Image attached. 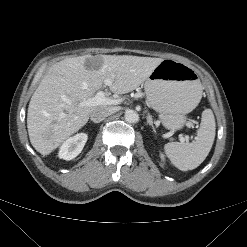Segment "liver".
<instances>
[{
	"mask_svg": "<svg viewBox=\"0 0 247 247\" xmlns=\"http://www.w3.org/2000/svg\"><path fill=\"white\" fill-rule=\"evenodd\" d=\"M161 58L131 55H84L52 65L33 93L27 113L29 139L36 151L48 155L78 132L98 109L112 105L86 106L105 86L116 94L139 87L161 63ZM97 62L93 65V62ZM106 80L111 84L106 85Z\"/></svg>",
	"mask_w": 247,
	"mask_h": 247,
	"instance_id": "obj_1",
	"label": "liver"
}]
</instances>
